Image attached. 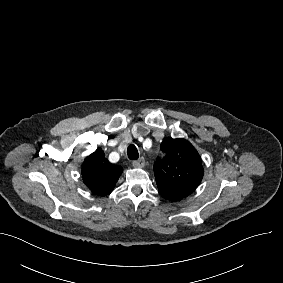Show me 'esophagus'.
I'll list each match as a JSON object with an SVG mask.
<instances>
[{"mask_svg": "<svg viewBox=\"0 0 283 283\" xmlns=\"http://www.w3.org/2000/svg\"><path fill=\"white\" fill-rule=\"evenodd\" d=\"M145 158L144 157H140L138 160H135L132 162L133 167L135 168H142L145 166Z\"/></svg>", "mask_w": 283, "mask_h": 283, "instance_id": "34e87169", "label": "esophagus"}]
</instances>
